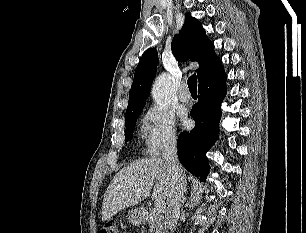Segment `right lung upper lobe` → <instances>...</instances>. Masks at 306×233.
Returning <instances> with one entry per match:
<instances>
[{"label": "right lung upper lobe", "mask_w": 306, "mask_h": 233, "mask_svg": "<svg viewBox=\"0 0 306 233\" xmlns=\"http://www.w3.org/2000/svg\"><path fill=\"white\" fill-rule=\"evenodd\" d=\"M171 48L173 55L179 62L190 59L199 63V68L196 70L199 81L222 67L202 24L190 13H186L184 25L179 34L174 36ZM157 64V50L155 48L146 50L134 74L126 116L142 110L145 106V100L149 96L152 80L156 74Z\"/></svg>", "instance_id": "1"}]
</instances>
